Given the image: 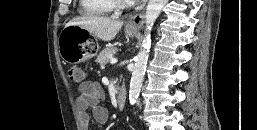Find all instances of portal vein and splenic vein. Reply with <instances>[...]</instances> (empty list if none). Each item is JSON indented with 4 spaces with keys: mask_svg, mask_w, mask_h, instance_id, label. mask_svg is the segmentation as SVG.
Wrapping results in <instances>:
<instances>
[{
    "mask_svg": "<svg viewBox=\"0 0 257 130\" xmlns=\"http://www.w3.org/2000/svg\"><path fill=\"white\" fill-rule=\"evenodd\" d=\"M110 63H111V64L117 63V59H116V58H111Z\"/></svg>",
    "mask_w": 257,
    "mask_h": 130,
    "instance_id": "obj_1",
    "label": "portal vein and splenic vein"
}]
</instances>
